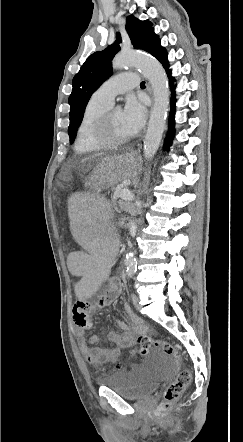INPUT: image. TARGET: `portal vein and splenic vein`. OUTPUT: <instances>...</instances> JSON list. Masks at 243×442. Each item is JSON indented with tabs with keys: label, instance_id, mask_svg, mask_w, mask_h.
Segmentation results:
<instances>
[{
	"label": "portal vein and splenic vein",
	"instance_id": "portal-vein-and-splenic-vein-1",
	"mask_svg": "<svg viewBox=\"0 0 243 442\" xmlns=\"http://www.w3.org/2000/svg\"><path fill=\"white\" fill-rule=\"evenodd\" d=\"M132 196L128 189L122 188L116 194L115 198L120 197L122 200H128Z\"/></svg>",
	"mask_w": 243,
	"mask_h": 442
}]
</instances>
